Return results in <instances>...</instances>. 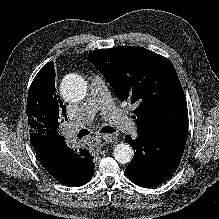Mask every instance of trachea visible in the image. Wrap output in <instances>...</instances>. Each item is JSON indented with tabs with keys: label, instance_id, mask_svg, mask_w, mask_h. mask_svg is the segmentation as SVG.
<instances>
[{
	"label": "trachea",
	"instance_id": "3493384b",
	"mask_svg": "<svg viewBox=\"0 0 219 219\" xmlns=\"http://www.w3.org/2000/svg\"><path fill=\"white\" fill-rule=\"evenodd\" d=\"M115 132V129L110 126H105L100 130V133L108 134ZM90 132L86 129H82L79 131L78 137L81 138L85 135H88Z\"/></svg>",
	"mask_w": 219,
	"mask_h": 219
}]
</instances>
